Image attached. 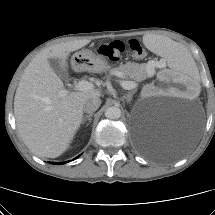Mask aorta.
Wrapping results in <instances>:
<instances>
[{
    "label": "aorta",
    "mask_w": 215,
    "mask_h": 215,
    "mask_svg": "<svg viewBox=\"0 0 215 215\" xmlns=\"http://www.w3.org/2000/svg\"><path fill=\"white\" fill-rule=\"evenodd\" d=\"M105 117L108 119H119L121 117V109L118 106H111L105 110Z\"/></svg>",
    "instance_id": "obj_1"
}]
</instances>
